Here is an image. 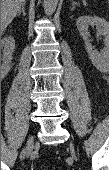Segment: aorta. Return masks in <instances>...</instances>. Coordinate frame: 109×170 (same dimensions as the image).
<instances>
[{"label": "aorta", "mask_w": 109, "mask_h": 170, "mask_svg": "<svg viewBox=\"0 0 109 170\" xmlns=\"http://www.w3.org/2000/svg\"><path fill=\"white\" fill-rule=\"evenodd\" d=\"M58 4V0H44V11L47 15L54 13Z\"/></svg>", "instance_id": "1"}]
</instances>
